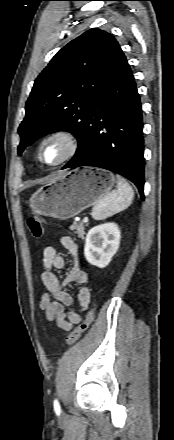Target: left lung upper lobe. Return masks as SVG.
<instances>
[{
  "label": "left lung upper lobe",
  "mask_w": 174,
  "mask_h": 440,
  "mask_svg": "<svg viewBox=\"0 0 174 440\" xmlns=\"http://www.w3.org/2000/svg\"><path fill=\"white\" fill-rule=\"evenodd\" d=\"M123 52L108 32L93 28L63 47L35 80L19 126V155L40 136L65 130L78 139L79 154L86 137L92 104Z\"/></svg>",
  "instance_id": "obj_1"
}]
</instances>
